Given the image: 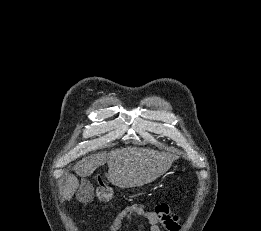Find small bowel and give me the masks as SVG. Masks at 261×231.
<instances>
[{
  "label": "small bowel",
  "instance_id": "obj_1",
  "mask_svg": "<svg viewBox=\"0 0 261 231\" xmlns=\"http://www.w3.org/2000/svg\"><path fill=\"white\" fill-rule=\"evenodd\" d=\"M134 217L145 219L149 231H162L160 224L166 231H180V217L166 204L156 205L153 209L146 204L134 205L114 220L109 231H118L124 224H130Z\"/></svg>",
  "mask_w": 261,
  "mask_h": 231
}]
</instances>
